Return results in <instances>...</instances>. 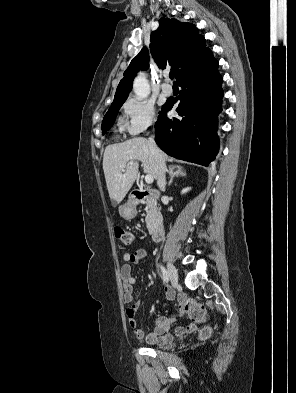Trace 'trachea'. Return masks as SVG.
I'll list each match as a JSON object with an SVG mask.
<instances>
[{"mask_svg":"<svg viewBox=\"0 0 296 393\" xmlns=\"http://www.w3.org/2000/svg\"><path fill=\"white\" fill-rule=\"evenodd\" d=\"M169 77H170V79H173L174 78V72H170Z\"/></svg>","mask_w":296,"mask_h":393,"instance_id":"obj_1","label":"trachea"}]
</instances>
